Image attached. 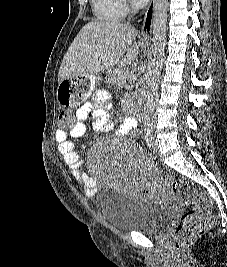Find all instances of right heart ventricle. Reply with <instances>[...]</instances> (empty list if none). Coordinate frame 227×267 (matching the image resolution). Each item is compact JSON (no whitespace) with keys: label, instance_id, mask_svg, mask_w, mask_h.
<instances>
[{"label":"right heart ventricle","instance_id":"e07e8e85","mask_svg":"<svg viewBox=\"0 0 227 267\" xmlns=\"http://www.w3.org/2000/svg\"><path fill=\"white\" fill-rule=\"evenodd\" d=\"M97 19L103 22H118L125 14L123 0H92Z\"/></svg>","mask_w":227,"mask_h":267}]
</instances>
